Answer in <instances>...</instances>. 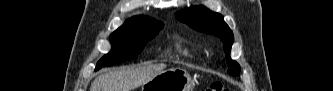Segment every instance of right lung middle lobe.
<instances>
[{
    "label": "right lung middle lobe",
    "mask_w": 333,
    "mask_h": 91,
    "mask_svg": "<svg viewBox=\"0 0 333 91\" xmlns=\"http://www.w3.org/2000/svg\"><path fill=\"white\" fill-rule=\"evenodd\" d=\"M162 28L163 24L156 20L124 24L110 35L112 50L101 58L95 70L134 58Z\"/></svg>",
    "instance_id": "right-lung-middle-lobe-1"
}]
</instances>
